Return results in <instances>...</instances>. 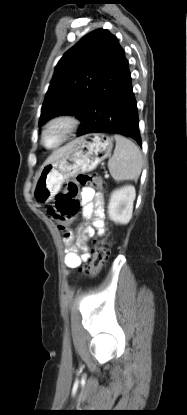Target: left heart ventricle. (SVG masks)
<instances>
[{
	"label": "left heart ventricle",
	"instance_id": "obj_1",
	"mask_svg": "<svg viewBox=\"0 0 187 415\" xmlns=\"http://www.w3.org/2000/svg\"><path fill=\"white\" fill-rule=\"evenodd\" d=\"M60 134L61 129L59 127L51 129L46 136V143L49 145L55 143L58 140Z\"/></svg>",
	"mask_w": 187,
	"mask_h": 415
}]
</instances>
